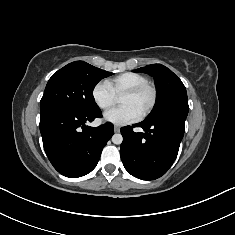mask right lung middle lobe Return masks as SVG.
<instances>
[{"label": "right lung middle lobe", "mask_w": 235, "mask_h": 235, "mask_svg": "<svg viewBox=\"0 0 235 235\" xmlns=\"http://www.w3.org/2000/svg\"><path fill=\"white\" fill-rule=\"evenodd\" d=\"M112 74L83 61L69 63L49 79L40 101V111L56 108L86 113L98 109L92 94L94 87Z\"/></svg>", "instance_id": "obj_1"}]
</instances>
